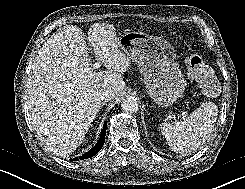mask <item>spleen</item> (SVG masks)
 <instances>
[{"instance_id":"3e777b00","label":"spleen","mask_w":245,"mask_h":189,"mask_svg":"<svg viewBox=\"0 0 245 189\" xmlns=\"http://www.w3.org/2000/svg\"><path fill=\"white\" fill-rule=\"evenodd\" d=\"M217 115V105L206 102L179 122L162 123L160 129L174 152L190 153L199 149L210 137Z\"/></svg>"}]
</instances>
